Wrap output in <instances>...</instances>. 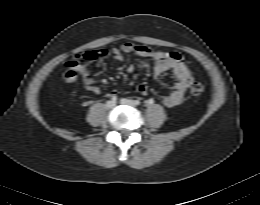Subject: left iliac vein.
I'll return each instance as SVG.
<instances>
[{"label":"left iliac vein","instance_id":"left-iliac-vein-1","mask_svg":"<svg viewBox=\"0 0 260 205\" xmlns=\"http://www.w3.org/2000/svg\"><path fill=\"white\" fill-rule=\"evenodd\" d=\"M120 103L121 104H124V105H130V106H135L134 104V101L133 100H130V99H121L120 100Z\"/></svg>","mask_w":260,"mask_h":205}]
</instances>
